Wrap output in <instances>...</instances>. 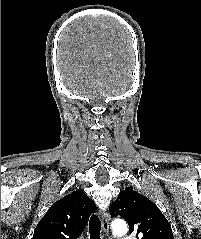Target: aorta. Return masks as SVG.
I'll return each instance as SVG.
<instances>
[{"mask_svg": "<svg viewBox=\"0 0 201 239\" xmlns=\"http://www.w3.org/2000/svg\"><path fill=\"white\" fill-rule=\"evenodd\" d=\"M111 228H112L113 235L119 236V237L124 236L128 231L127 224L122 219L113 220L111 224Z\"/></svg>", "mask_w": 201, "mask_h": 239, "instance_id": "1", "label": "aorta"}]
</instances>
